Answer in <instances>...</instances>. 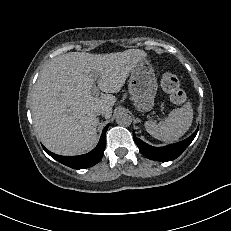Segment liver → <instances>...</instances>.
<instances>
[{
  "label": "liver",
  "mask_w": 231,
  "mask_h": 231,
  "mask_svg": "<svg viewBox=\"0 0 231 231\" xmlns=\"http://www.w3.org/2000/svg\"><path fill=\"white\" fill-rule=\"evenodd\" d=\"M140 49L109 54L70 52L52 59L34 86L31 112L37 137L59 155H80L97 143L98 118L109 119L116 97L136 64L146 59ZM98 75L99 97L92 94Z\"/></svg>",
  "instance_id": "liver-1"
}]
</instances>
